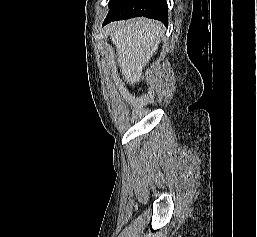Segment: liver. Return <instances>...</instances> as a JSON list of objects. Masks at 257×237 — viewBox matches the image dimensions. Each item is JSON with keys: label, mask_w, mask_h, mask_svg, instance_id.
<instances>
[{"label": "liver", "mask_w": 257, "mask_h": 237, "mask_svg": "<svg viewBox=\"0 0 257 237\" xmlns=\"http://www.w3.org/2000/svg\"><path fill=\"white\" fill-rule=\"evenodd\" d=\"M161 32L159 22L146 18L111 25L110 37L117 48L122 75L127 82L135 84L140 81L142 69L158 49Z\"/></svg>", "instance_id": "obj_1"}]
</instances>
